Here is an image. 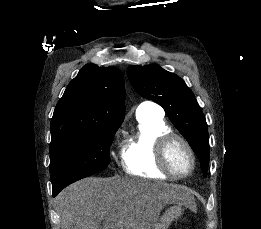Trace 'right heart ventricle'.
<instances>
[{
	"label": "right heart ventricle",
	"instance_id": "e07e8e85",
	"mask_svg": "<svg viewBox=\"0 0 261 229\" xmlns=\"http://www.w3.org/2000/svg\"><path fill=\"white\" fill-rule=\"evenodd\" d=\"M139 131L127 140L121 147L120 156L122 166L132 175L151 176L155 174L166 175L157 159V145L159 139L171 133V128L164 120V111L158 113L153 110H139Z\"/></svg>",
	"mask_w": 261,
	"mask_h": 229
}]
</instances>
